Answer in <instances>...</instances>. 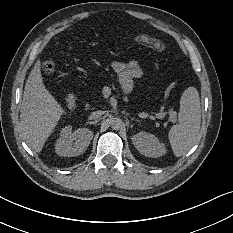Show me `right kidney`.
Listing matches in <instances>:
<instances>
[{"mask_svg":"<svg viewBox=\"0 0 233 233\" xmlns=\"http://www.w3.org/2000/svg\"><path fill=\"white\" fill-rule=\"evenodd\" d=\"M72 129L73 126L68 124L58 133L54 145L55 152L59 156L73 157L81 155L85 152L94 136L93 131L87 128H80L75 132H72Z\"/></svg>","mask_w":233,"mask_h":233,"instance_id":"obj_1","label":"right kidney"}]
</instances>
